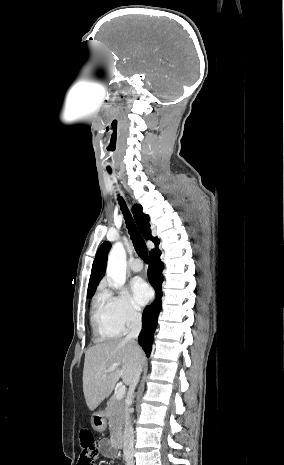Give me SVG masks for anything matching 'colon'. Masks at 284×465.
Returning <instances> with one entry per match:
<instances>
[{
    "label": "colon",
    "instance_id": "5ec220e1",
    "mask_svg": "<svg viewBox=\"0 0 284 465\" xmlns=\"http://www.w3.org/2000/svg\"><path fill=\"white\" fill-rule=\"evenodd\" d=\"M79 441L81 446L79 465H93L92 460L96 454V441L92 432L88 429H81Z\"/></svg>",
    "mask_w": 284,
    "mask_h": 465
}]
</instances>
